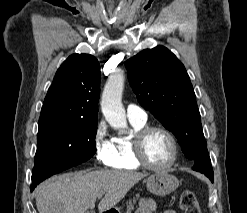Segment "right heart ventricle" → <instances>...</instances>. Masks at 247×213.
Instances as JSON below:
<instances>
[{
  "label": "right heart ventricle",
  "mask_w": 247,
  "mask_h": 213,
  "mask_svg": "<svg viewBox=\"0 0 247 213\" xmlns=\"http://www.w3.org/2000/svg\"><path fill=\"white\" fill-rule=\"evenodd\" d=\"M132 130L127 136L113 138L114 158L111 166L115 169L137 170L140 165L134 160L132 154V137L134 133L145 126V122L130 121Z\"/></svg>",
  "instance_id": "right-heart-ventricle-1"
}]
</instances>
